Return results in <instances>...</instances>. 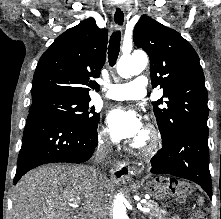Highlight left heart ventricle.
Returning a JSON list of instances; mask_svg holds the SVG:
<instances>
[{
    "label": "left heart ventricle",
    "mask_w": 221,
    "mask_h": 219,
    "mask_svg": "<svg viewBox=\"0 0 221 219\" xmlns=\"http://www.w3.org/2000/svg\"><path fill=\"white\" fill-rule=\"evenodd\" d=\"M140 137H141V133L139 134V136L136 139H134V141H138L140 139Z\"/></svg>",
    "instance_id": "obj_1"
}]
</instances>
